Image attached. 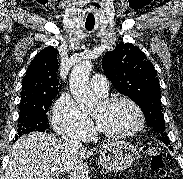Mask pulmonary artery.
Masks as SVG:
<instances>
[{"instance_id": "1", "label": "pulmonary artery", "mask_w": 183, "mask_h": 179, "mask_svg": "<svg viewBox=\"0 0 183 179\" xmlns=\"http://www.w3.org/2000/svg\"><path fill=\"white\" fill-rule=\"evenodd\" d=\"M90 85L95 92L101 95H106L108 93L109 84L107 79L102 75L99 74L94 75L91 78Z\"/></svg>"}]
</instances>
